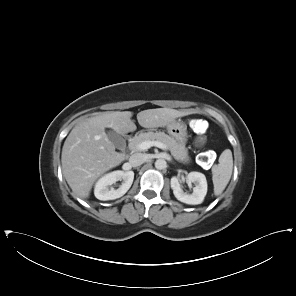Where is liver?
I'll list each match as a JSON object with an SVG mask.
<instances>
[{"mask_svg": "<svg viewBox=\"0 0 296 296\" xmlns=\"http://www.w3.org/2000/svg\"><path fill=\"white\" fill-rule=\"evenodd\" d=\"M192 113V110L148 109L139 112L137 120L144 128H158ZM131 117L130 111L105 112L80 122L71 130L62 148L61 162L63 175L74 195L88 198L94 182L124 160L125 155L115 151L105 128H112L120 135L134 132L136 125Z\"/></svg>", "mask_w": 296, "mask_h": 296, "instance_id": "6515ba94", "label": "liver"}]
</instances>
